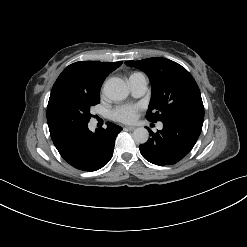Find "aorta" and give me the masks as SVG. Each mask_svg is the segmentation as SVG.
I'll list each match as a JSON object with an SVG mask.
<instances>
[{"label": "aorta", "mask_w": 247, "mask_h": 247, "mask_svg": "<svg viewBox=\"0 0 247 247\" xmlns=\"http://www.w3.org/2000/svg\"><path fill=\"white\" fill-rule=\"evenodd\" d=\"M105 96L112 101H121L127 98L129 87L120 78H111L104 85ZM133 139L136 143L144 144L149 139V132L144 127H138L133 131Z\"/></svg>", "instance_id": "1"}]
</instances>
